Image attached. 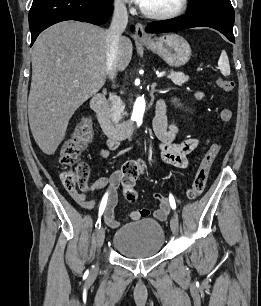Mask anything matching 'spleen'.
Returning a JSON list of instances; mask_svg holds the SVG:
<instances>
[{"instance_id":"1","label":"spleen","mask_w":261,"mask_h":306,"mask_svg":"<svg viewBox=\"0 0 261 306\" xmlns=\"http://www.w3.org/2000/svg\"><path fill=\"white\" fill-rule=\"evenodd\" d=\"M218 66L219 69L224 76H229L230 75V65H229V60L228 56L225 51L221 52L220 58L218 60Z\"/></svg>"}]
</instances>
